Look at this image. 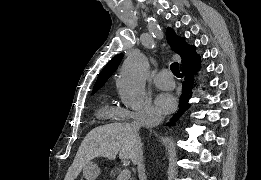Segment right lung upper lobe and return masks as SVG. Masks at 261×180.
I'll use <instances>...</instances> for the list:
<instances>
[{"instance_id":"obj_1","label":"right lung upper lobe","mask_w":261,"mask_h":180,"mask_svg":"<svg viewBox=\"0 0 261 180\" xmlns=\"http://www.w3.org/2000/svg\"><path fill=\"white\" fill-rule=\"evenodd\" d=\"M167 41L170 47L177 52L182 58V67L181 69L194 65L195 63L200 61V56H198L195 52V46L187 45L184 41V38H179L175 35L173 29L168 28L166 32ZM123 54L116 55L113 57L106 67L99 74L97 81L94 85L92 93H95L103 84L107 81V79L112 75V73L117 69L120 61L122 60Z\"/></svg>"}]
</instances>
